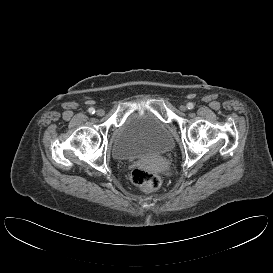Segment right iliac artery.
I'll return each instance as SVG.
<instances>
[{
	"mask_svg": "<svg viewBox=\"0 0 273 273\" xmlns=\"http://www.w3.org/2000/svg\"><path fill=\"white\" fill-rule=\"evenodd\" d=\"M88 111H89V113H91V114H94V113H95V109H94L93 107L89 108Z\"/></svg>",
	"mask_w": 273,
	"mask_h": 273,
	"instance_id": "1",
	"label": "right iliac artery"
}]
</instances>
